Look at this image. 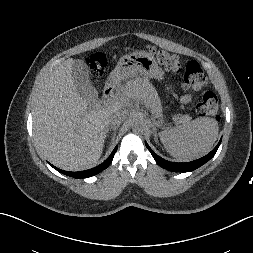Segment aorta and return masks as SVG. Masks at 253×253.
<instances>
[{
	"label": "aorta",
	"instance_id": "aorta-1",
	"mask_svg": "<svg viewBox=\"0 0 253 253\" xmlns=\"http://www.w3.org/2000/svg\"><path fill=\"white\" fill-rule=\"evenodd\" d=\"M132 129L135 133H144L147 130V123L143 118L137 117L133 122Z\"/></svg>",
	"mask_w": 253,
	"mask_h": 253
}]
</instances>
